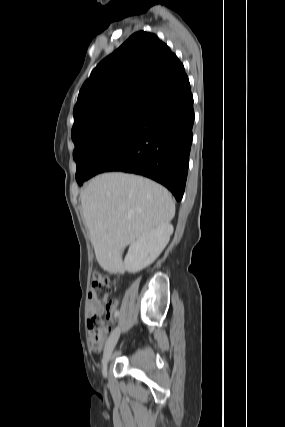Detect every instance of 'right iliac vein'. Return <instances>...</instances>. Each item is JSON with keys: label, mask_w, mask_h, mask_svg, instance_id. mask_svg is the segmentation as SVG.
<instances>
[{"label": "right iliac vein", "mask_w": 285, "mask_h": 427, "mask_svg": "<svg viewBox=\"0 0 285 427\" xmlns=\"http://www.w3.org/2000/svg\"><path fill=\"white\" fill-rule=\"evenodd\" d=\"M120 337V328L116 327L113 332L111 333L106 346H105V350H104V354H103V359H102V373L103 375L107 374V364L108 361L110 360L111 354L118 342V339Z\"/></svg>", "instance_id": "obj_1"}]
</instances>
